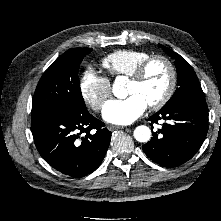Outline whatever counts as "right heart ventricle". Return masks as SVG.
Masks as SVG:
<instances>
[{"label":"right heart ventricle","instance_id":"right-heart-ventricle-1","mask_svg":"<svg viewBox=\"0 0 221 221\" xmlns=\"http://www.w3.org/2000/svg\"><path fill=\"white\" fill-rule=\"evenodd\" d=\"M149 56L148 52L141 50H117L103 58L102 66L114 77H129L135 68Z\"/></svg>","mask_w":221,"mask_h":221}]
</instances>
